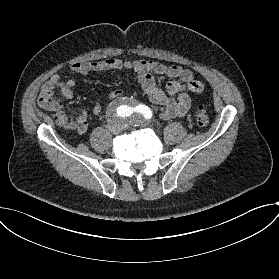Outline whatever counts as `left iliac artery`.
<instances>
[{
	"instance_id": "44dca946",
	"label": "left iliac artery",
	"mask_w": 279,
	"mask_h": 279,
	"mask_svg": "<svg viewBox=\"0 0 279 279\" xmlns=\"http://www.w3.org/2000/svg\"><path fill=\"white\" fill-rule=\"evenodd\" d=\"M143 114L146 119H150L152 117V111L147 106H143Z\"/></svg>"
}]
</instances>
